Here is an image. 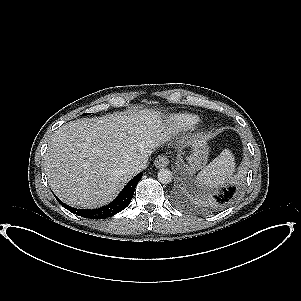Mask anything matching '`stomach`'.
I'll return each mask as SVG.
<instances>
[{"label":"stomach","mask_w":301,"mask_h":301,"mask_svg":"<svg viewBox=\"0 0 301 301\" xmlns=\"http://www.w3.org/2000/svg\"><path fill=\"white\" fill-rule=\"evenodd\" d=\"M209 148L203 141L193 144V153L188 158L189 167L194 170L201 169L208 159Z\"/></svg>","instance_id":"stomach-1"}]
</instances>
